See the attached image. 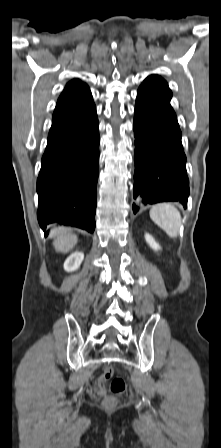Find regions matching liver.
<instances>
[{
    "mask_svg": "<svg viewBox=\"0 0 221 448\" xmlns=\"http://www.w3.org/2000/svg\"><path fill=\"white\" fill-rule=\"evenodd\" d=\"M57 236L53 242L56 251L61 253H68L77 244L78 237L69 229L60 227L56 230Z\"/></svg>",
    "mask_w": 221,
    "mask_h": 448,
    "instance_id": "6515ba94",
    "label": "liver"
}]
</instances>
